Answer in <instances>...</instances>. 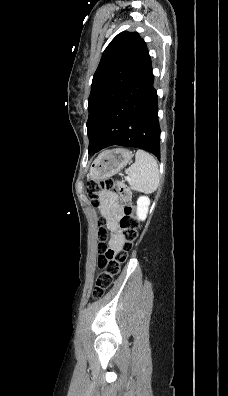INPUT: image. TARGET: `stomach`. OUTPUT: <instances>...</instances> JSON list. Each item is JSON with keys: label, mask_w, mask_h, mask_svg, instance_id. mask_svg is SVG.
Segmentation results:
<instances>
[{"label": "stomach", "mask_w": 228, "mask_h": 396, "mask_svg": "<svg viewBox=\"0 0 228 396\" xmlns=\"http://www.w3.org/2000/svg\"><path fill=\"white\" fill-rule=\"evenodd\" d=\"M132 157L131 151L122 148L103 152L93 162L89 175L93 180L109 178L130 164Z\"/></svg>", "instance_id": "obj_1"}]
</instances>
